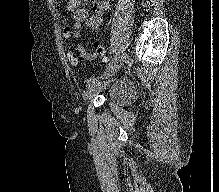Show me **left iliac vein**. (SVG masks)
I'll return each mask as SVG.
<instances>
[{"instance_id":"left-iliac-vein-1","label":"left iliac vein","mask_w":219,"mask_h":192,"mask_svg":"<svg viewBox=\"0 0 219 192\" xmlns=\"http://www.w3.org/2000/svg\"><path fill=\"white\" fill-rule=\"evenodd\" d=\"M127 59V54L125 52L118 55V57L113 61V64L102 74L101 80H106V83L111 82V78L119 71L124 62ZM103 89V83L101 81L94 79L90 80L87 85V90L84 94L86 100L92 99Z\"/></svg>"}]
</instances>
